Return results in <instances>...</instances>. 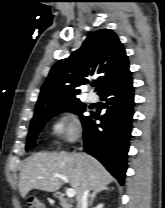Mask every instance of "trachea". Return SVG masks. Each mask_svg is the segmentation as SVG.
<instances>
[{"instance_id": "1", "label": "trachea", "mask_w": 165, "mask_h": 208, "mask_svg": "<svg viewBox=\"0 0 165 208\" xmlns=\"http://www.w3.org/2000/svg\"><path fill=\"white\" fill-rule=\"evenodd\" d=\"M93 86H97V84H96V83H94V84H93Z\"/></svg>"}]
</instances>
